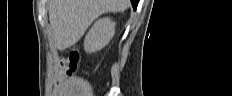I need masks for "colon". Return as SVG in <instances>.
<instances>
[{
  "label": "colon",
  "instance_id": "5ec220e1",
  "mask_svg": "<svg viewBox=\"0 0 232 96\" xmlns=\"http://www.w3.org/2000/svg\"><path fill=\"white\" fill-rule=\"evenodd\" d=\"M80 61V55L78 51L72 50L71 53L60 61V67L67 75H72L76 72Z\"/></svg>",
  "mask_w": 232,
  "mask_h": 96
}]
</instances>
